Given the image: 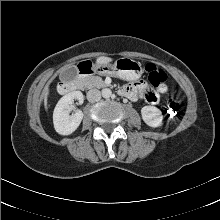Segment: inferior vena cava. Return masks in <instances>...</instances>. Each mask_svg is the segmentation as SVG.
Segmentation results:
<instances>
[{"label": "inferior vena cava", "instance_id": "obj_1", "mask_svg": "<svg viewBox=\"0 0 220 220\" xmlns=\"http://www.w3.org/2000/svg\"><path fill=\"white\" fill-rule=\"evenodd\" d=\"M101 99V92L98 89H91L87 92V100L91 103Z\"/></svg>", "mask_w": 220, "mask_h": 220}]
</instances>
